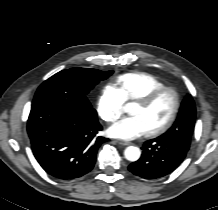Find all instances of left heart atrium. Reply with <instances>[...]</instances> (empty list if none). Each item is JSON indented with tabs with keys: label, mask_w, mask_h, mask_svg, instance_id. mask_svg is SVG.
Returning a JSON list of instances; mask_svg holds the SVG:
<instances>
[{
	"label": "left heart atrium",
	"mask_w": 218,
	"mask_h": 210,
	"mask_svg": "<svg viewBox=\"0 0 218 210\" xmlns=\"http://www.w3.org/2000/svg\"><path fill=\"white\" fill-rule=\"evenodd\" d=\"M107 132L111 137L131 140L144 136L149 131L142 118L132 116L115 123Z\"/></svg>",
	"instance_id": "1"
}]
</instances>
